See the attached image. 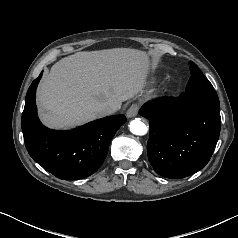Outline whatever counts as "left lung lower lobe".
Masks as SVG:
<instances>
[{
  "label": "left lung lower lobe",
  "mask_w": 238,
  "mask_h": 238,
  "mask_svg": "<svg viewBox=\"0 0 238 238\" xmlns=\"http://www.w3.org/2000/svg\"><path fill=\"white\" fill-rule=\"evenodd\" d=\"M139 113L149 120L147 154L155 172L180 179L206 166L220 133L219 99L164 98Z\"/></svg>",
  "instance_id": "left-lung-lower-lobe-1"
}]
</instances>
